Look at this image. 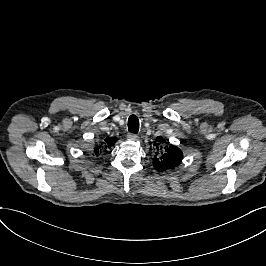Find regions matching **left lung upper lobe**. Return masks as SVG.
<instances>
[{
  "instance_id": "obj_1",
  "label": "left lung upper lobe",
  "mask_w": 266,
  "mask_h": 266,
  "mask_svg": "<svg viewBox=\"0 0 266 266\" xmlns=\"http://www.w3.org/2000/svg\"><path fill=\"white\" fill-rule=\"evenodd\" d=\"M157 141L165 142L161 137L157 138ZM183 159L182 151L173 145L165 147L160 153L157 152L153 159V166L158 171H166L177 167Z\"/></svg>"
}]
</instances>
